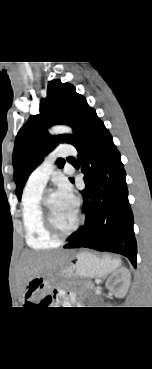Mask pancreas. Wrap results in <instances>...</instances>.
I'll return each instance as SVG.
<instances>
[{
    "instance_id": "pancreas-1",
    "label": "pancreas",
    "mask_w": 152,
    "mask_h": 369,
    "mask_svg": "<svg viewBox=\"0 0 152 369\" xmlns=\"http://www.w3.org/2000/svg\"><path fill=\"white\" fill-rule=\"evenodd\" d=\"M93 283L91 281H83L81 282V290L84 291H89L91 289H93L92 287Z\"/></svg>"
}]
</instances>
